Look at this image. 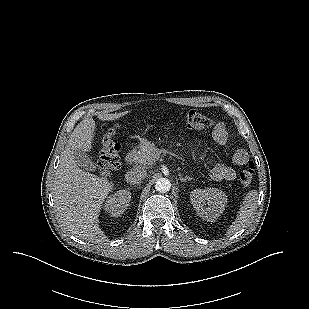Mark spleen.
Instances as JSON below:
<instances>
[{"label":"spleen","instance_id":"spleen-1","mask_svg":"<svg viewBox=\"0 0 309 309\" xmlns=\"http://www.w3.org/2000/svg\"><path fill=\"white\" fill-rule=\"evenodd\" d=\"M258 200V192L256 190L250 191L243 199L242 205L239 208L235 221L229 228L228 233H234L240 230L246 223L250 221Z\"/></svg>","mask_w":309,"mask_h":309}]
</instances>
